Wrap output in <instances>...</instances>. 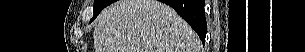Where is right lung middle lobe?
<instances>
[{
    "label": "right lung middle lobe",
    "mask_w": 305,
    "mask_h": 52,
    "mask_svg": "<svg viewBox=\"0 0 305 52\" xmlns=\"http://www.w3.org/2000/svg\"><path fill=\"white\" fill-rule=\"evenodd\" d=\"M110 2V0H95L94 1V15L93 19L97 17V15L101 12V10L106 7V5Z\"/></svg>",
    "instance_id": "1"
}]
</instances>
